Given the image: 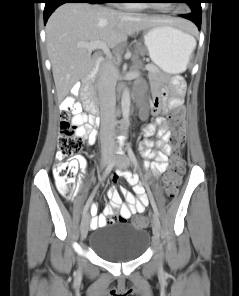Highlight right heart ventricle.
Segmentation results:
<instances>
[{"label":"right heart ventricle","instance_id":"e07e8e85","mask_svg":"<svg viewBox=\"0 0 239 296\" xmlns=\"http://www.w3.org/2000/svg\"><path fill=\"white\" fill-rule=\"evenodd\" d=\"M119 6L123 7V8H134L135 4H131V3L127 2V1H122V3H120Z\"/></svg>","mask_w":239,"mask_h":296}]
</instances>
